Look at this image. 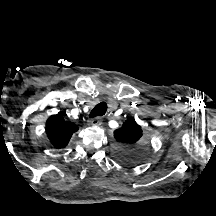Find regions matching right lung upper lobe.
<instances>
[{
	"mask_svg": "<svg viewBox=\"0 0 216 216\" xmlns=\"http://www.w3.org/2000/svg\"><path fill=\"white\" fill-rule=\"evenodd\" d=\"M78 126L64 120L61 112L52 115L46 122V134L51 144L57 148L65 147Z\"/></svg>",
	"mask_w": 216,
	"mask_h": 216,
	"instance_id": "right-lung-upper-lobe-1",
	"label": "right lung upper lobe"
}]
</instances>
